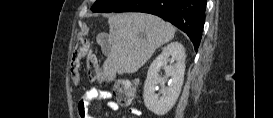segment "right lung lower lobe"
<instances>
[{"label": "right lung lower lobe", "instance_id": "1", "mask_svg": "<svg viewBox=\"0 0 273 118\" xmlns=\"http://www.w3.org/2000/svg\"><path fill=\"white\" fill-rule=\"evenodd\" d=\"M206 0H127L115 12L157 15L184 31L197 51L205 22Z\"/></svg>", "mask_w": 273, "mask_h": 118}]
</instances>
